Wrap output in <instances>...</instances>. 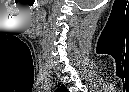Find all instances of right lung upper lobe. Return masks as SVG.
<instances>
[{"instance_id": "right-lung-upper-lobe-1", "label": "right lung upper lobe", "mask_w": 129, "mask_h": 92, "mask_svg": "<svg viewBox=\"0 0 129 92\" xmlns=\"http://www.w3.org/2000/svg\"><path fill=\"white\" fill-rule=\"evenodd\" d=\"M62 90H64L65 89V87H64V85H62V88H61Z\"/></svg>"}]
</instances>
